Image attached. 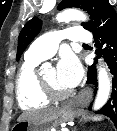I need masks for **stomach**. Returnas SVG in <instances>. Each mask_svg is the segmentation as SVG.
I'll return each instance as SVG.
<instances>
[{
  "mask_svg": "<svg viewBox=\"0 0 117 131\" xmlns=\"http://www.w3.org/2000/svg\"><path fill=\"white\" fill-rule=\"evenodd\" d=\"M74 117V111L71 106L66 105L58 109L48 117L36 120H24L16 123L12 130L14 131H53L61 124L71 121Z\"/></svg>",
  "mask_w": 117,
  "mask_h": 131,
  "instance_id": "1",
  "label": "stomach"
}]
</instances>
